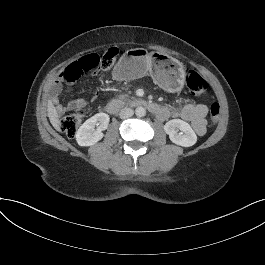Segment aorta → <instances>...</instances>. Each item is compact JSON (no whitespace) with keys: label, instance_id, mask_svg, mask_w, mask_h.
Listing matches in <instances>:
<instances>
[{"label":"aorta","instance_id":"obj_1","mask_svg":"<svg viewBox=\"0 0 265 265\" xmlns=\"http://www.w3.org/2000/svg\"><path fill=\"white\" fill-rule=\"evenodd\" d=\"M135 114L137 117H143L146 114V109L142 106H139L135 109Z\"/></svg>","mask_w":265,"mask_h":265}]
</instances>
